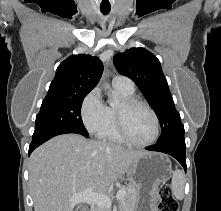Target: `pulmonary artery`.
<instances>
[{"label": "pulmonary artery", "mask_w": 221, "mask_h": 211, "mask_svg": "<svg viewBox=\"0 0 221 211\" xmlns=\"http://www.w3.org/2000/svg\"><path fill=\"white\" fill-rule=\"evenodd\" d=\"M112 83H113V86L117 89H122L128 92L134 91L133 81L126 76H122V75L115 76L113 78Z\"/></svg>", "instance_id": "1"}]
</instances>
